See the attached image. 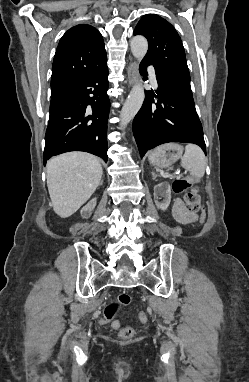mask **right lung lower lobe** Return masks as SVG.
I'll return each mask as SVG.
<instances>
[{
  "label": "right lung lower lobe",
  "instance_id": "right-lung-lower-lobe-1",
  "mask_svg": "<svg viewBox=\"0 0 249 382\" xmlns=\"http://www.w3.org/2000/svg\"><path fill=\"white\" fill-rule=\"evenodd\" d=\"M108 68L105 57L82 81L51 101L44 165L54 155L85 151L107 162Z\"/></svg>",
  "mask_w": 249,
  "mask_h": 382
}]
</instances>
